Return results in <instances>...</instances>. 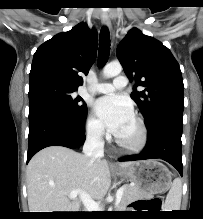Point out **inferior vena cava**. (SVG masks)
I'll return each instance as SVG.
<instances>
[{"instance_id":"602c4592","label":"inferior vena cava","mask_w":203,"mask_h":219,"mask_svg":"<svg viewBox=\"0 0 203 219\" xmlns=\"http://www.w3.org/2000/svg\"><path fill=\"white\" fill-rule=\"evenodd\" d=\"M103 128H97L90 133L83 146V153L92 160H100L104 157Z\"/></svg>"}]
</instances>
